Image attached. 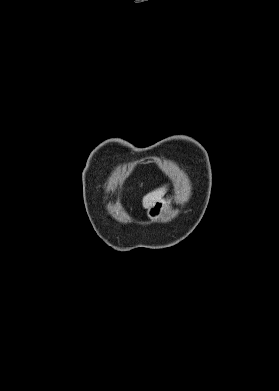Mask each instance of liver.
Returning <instances> with one entry per match:
<instances>
[{
    "label": "liver",
    "instance_id": "6515ba94",
    "mask_svg": "<svg viewBox=\"0 0 279 391\" xmlns=\"http://www.w3.org/2000/svg\"><path fill=\"white\" fill-rule=\"evenodd\" d=\"M166 193V187L156 189L143 197V207L148 209L154 203L161 200Z\"/></svg>",
    "mask_w": 279,
    "mask_h": 391
}]
</instances>
